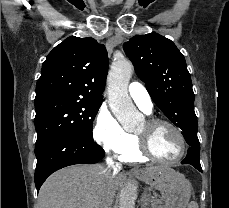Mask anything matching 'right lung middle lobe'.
<instances>
[{
    "instance_id": "1",
    "label": "right lung middle lobe",
    "mask_w": 229,
    "mask_h": 208,
    "mask_svg": "<svg viewBox=\"0 0 229 208\" xmlns=\"http://www.w3.org/2000/svg\"><path fill=\"white\" fill-rule=\"evenodd\" d=\"M36 146L60 133L72 132L93 139L92 123L101 103L69 96H51L34 101Z\"/></svg>"
}]
</instances>
